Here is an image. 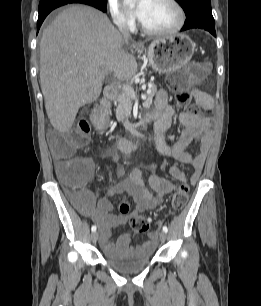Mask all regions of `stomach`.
Masks as SVG:
<instances>
[{"instance_id":"0dacf381","label":"stomach","mask_w":261,"mask_h":306,"mask_svg":"<svg viewBox=\"0 0 261 306\" xmlns=\"http://www.w3.org/2000/svg\"><path fill=\"white\" fill-rule=\"evenodd\" d=\"M195 52V43L185 34H175L155 39L147 50L150 67L159 74H167L179 70L186 65ZM98 129L106 126L100 117L93 119Z\"/></svg>"}]
</instances>
